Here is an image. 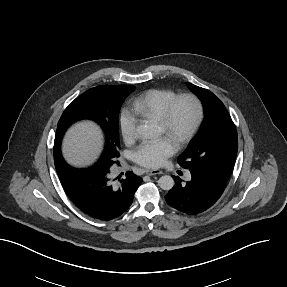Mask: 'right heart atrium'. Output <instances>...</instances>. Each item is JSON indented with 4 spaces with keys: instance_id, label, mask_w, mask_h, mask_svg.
Returning a JSON list of instances; mask_svg holds the SVG:
<instances>
[{
    "instance_id": "right-heart-atrium-1",
    "label": "right heart atrium",
    "mask_w": 287,
    "mask_h": 287,
    "mask_svg": "<svg viewBox=\"0 0 287 287\" xmlns=\"http://www.w3.org/2000/svg\"><path fill=\"white\" fill-rule=\"evenodd\" d=\"M137 118L132 110L124 108L119 116V126L123 139L132 141L137 137Z\"/></svg>"
}]
</instances>
